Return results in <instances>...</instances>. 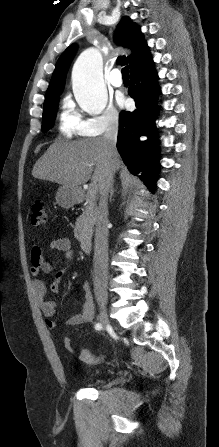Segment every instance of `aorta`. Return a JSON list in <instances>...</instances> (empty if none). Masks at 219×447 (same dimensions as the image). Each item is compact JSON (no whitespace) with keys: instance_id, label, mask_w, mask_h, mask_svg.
<instances>
[{"instance_id":"obj_1","label":"aorta","mask_w":219,"mask_h":447,"mask_svg":"<svg viewBox=\"0 0 219 447\" xmlns=\"http://www.w3.org/2000/svg\"><path fill=\"white\" fill-rule=\"evenodd\" d=\"M72 85L75 99L82 110L89 114H101L108 100L103 82V63L95 48L83 51L72 70Z\"/></svg>"}]
</instances>
